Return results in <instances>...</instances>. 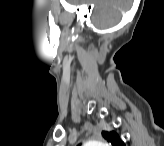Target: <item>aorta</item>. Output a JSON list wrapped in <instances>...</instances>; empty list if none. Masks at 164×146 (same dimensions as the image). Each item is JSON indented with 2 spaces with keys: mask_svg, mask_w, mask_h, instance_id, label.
Instances as JSON below:
<instances>
[{
  "mask_svg": "<svg viewBox=\"0 0 164 146\" xmlns=\"http://www.w3.org/2000/svg\"><path fill=\"white\" fill-rule=\"evenodd\" d=\"M87 146H106V144L100 140H89L86 142Z\"/></svg>",
  "mask_w": 164,
  "mask_h": 146,
  "instance_id": "1",
  "label": "aorta"
}]
</instances>
